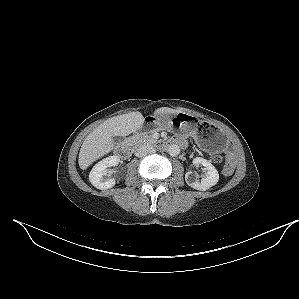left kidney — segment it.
<instances>
[{"mask_svg":"<svg viewBox=\"0 0 299 299\" xmlns=\"http://www.w3.org/2000/svg\"><path fill=\"white\" fill-rule=\"evenodd\" d=\"M193 164L204 166L207 170V173L204 177H202L201 182H199L197 177L193 175L192 171L186 172L185 180L189 186L197 190L206 191L217 184L219 180L218 171L209 161L201 157H196L193 160Z\"/></svg>","mask_w":299,"mask_h":299,"instance_id":"5707ae66","label":"left kidney"}]
</instances>
